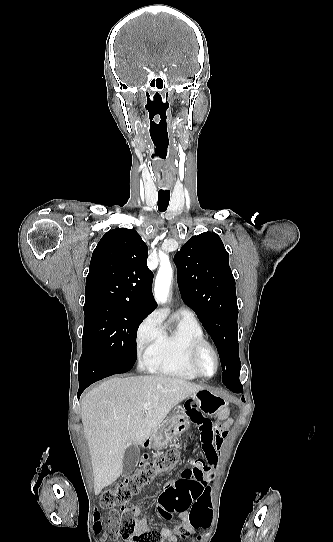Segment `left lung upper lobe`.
<instances>
[{
	"mask_svg": "<svg viewBox=\"0 0 333 542\" xmlns=\"http://www.w3.org/2000/svg\"><path fill=\"white\" fill-rule=\"evenodd\" d=\"M182 300L212 337L222 365V380L239 377L238 306L229 253L216 233L190 238L176 253Z\"/></svg>",
	"mask_w": 333,
	"mask_h": 542,
	"instance_id": "1",
	"label": "left lung upper lobe"
}]
</instances>
